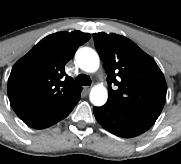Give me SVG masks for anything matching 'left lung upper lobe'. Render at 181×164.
I'll return each mask as SVG.
<instances>
[{"label": "left lung upper lobe", "mask_w": 181, "mask_h": 164, "mask_svg": "<svg viewBox=\"0 0 181 164\" xmlns=\"http://www.w3.org/2000/svg\"><path fill=\"white\" fill-rule=\"evenodd\" d=\"M94 44L104 63L109 86L108 100L155 120L165 101V78L152 57L124 36L94 33Z\"/></svg>", "instance_id": "5c2ea615"}]
</instances>
